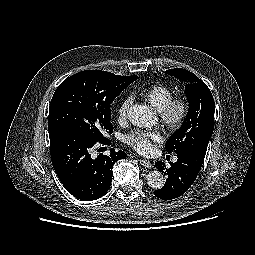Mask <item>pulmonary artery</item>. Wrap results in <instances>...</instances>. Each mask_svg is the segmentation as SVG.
Wrapping results in <instances>:
<instances>
[{
  "mask_svg": "<svg viewBox=\"0 0 255 255\" xmlns=\"http://www.w3.org/2000/svg\"><path fill=\"white\" fill-rule=\"evenodd\" d=\"M177 161V157H173V162H176Z\"/></svg>",
  "mask_w": 255,
  "mask_h": 255,
  "instance_id": "pulmonary-artery-1",
  "label": "pulmonary artery"
}]
</instances>
